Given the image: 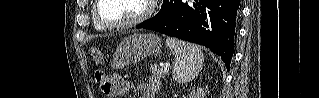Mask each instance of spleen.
I'll return each instance as SVG.
<instances>
[{
	"label": "spleen",
	"instance_id": "obj_1",
	"mask_svg": "<svg viewBox=\"0 0 319 98\" xmlns=\"http://www.w3.org/2000/svg\"><path fill=\"white\" fill-rule=\"evenodd\" d=\"M166 45L175 56L173 78L180 83L193 80L203 67L204 55L201 48L174 38H167Z\"/></svg>",
	"mask_w": 319,
	"mask_h": 98
}]
</instances>
